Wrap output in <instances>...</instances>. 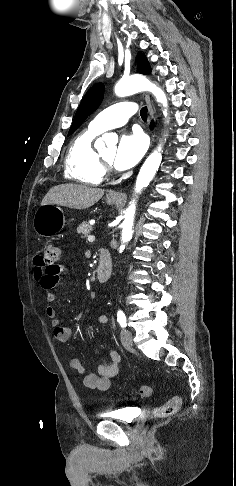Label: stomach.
Masks as SVG:
<instances>
[{"label":"stomach","instance_id":"stomach-1","mask_svg":"<svg viewBox=\"0 0 236 486\" xmlns=\"http://www.w3.org/2000/svg\"><path fill=\"white\" fill-rule=\"evenodd\" d=\"M116 201L115 198H106L108 205H113ZM65 223L63 210L55 204L41 205L33 218V228L41 237H50L59 233L64 228Z\"/></svg>","mask_w":236,"mask_h":486}]
</instances>
